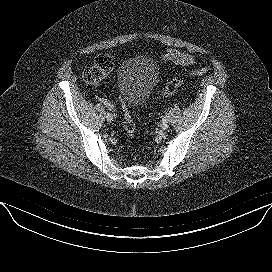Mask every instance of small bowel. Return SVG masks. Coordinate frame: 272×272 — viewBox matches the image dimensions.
<instances>
[{"instance_id": "obj_1", "label": "small bowel", "mask_w": 272, "mask_h": 272, "mask_svg": "<svg viewBox=\"0 0 272 272\" xmlns=\"http://www.w3.org/2000/svg\"><path fill=\"white\" fill-rule=\"evenodd\" d=\"M163 57L176 65L184 67L193 65L197 60L196 55L192 52H179L170 49L164 52Z\"/></svg>"}]
</instances>
